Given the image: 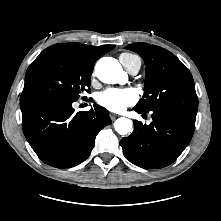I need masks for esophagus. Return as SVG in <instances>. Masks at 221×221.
<instances>
[{
    "mask_svg": "<svg viewBox=\"0 0 221 221\" xmlns=\"http://www.w3.org/2000/svg\"><path fill=\"white\" fill-rule=\"evenodd\" d=\"M117 117H118L117 114L112 113V112L110 113V118H111V120H115Z\"/></svg>",
    "mask_w": 221,
    "mask_h": 221,
    "instance_id": "34e87169",
    "label": "esophagus"
}]
</instances>
